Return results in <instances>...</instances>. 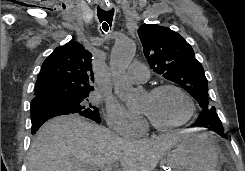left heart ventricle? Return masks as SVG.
<instances>
[{
  "mask_svg": "<svg viewBox=\"0 0 245 171\" xmlns=\"http://www.w3.org/2000/svg\"><path fill=\"white\" fill-rule=\"evenodd\" d=\"M188 110L189 106L185 97L172 89L156 95L147 94L142 104V112L163 125L181 121Z\"/></svg>",
  "mask_w": 245,
  "mask_h": 171,
  "instance_id": "b2bd125f",
  "label": "left heart ventricle"
}]
</instances>
